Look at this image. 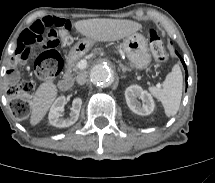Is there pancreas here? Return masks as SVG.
Listing matches in <instances>:
<instances>
[{"mask_svg": "<svg viewBox=\"0 0 215 183\" xmlns=\"http://www.w3.org/2000/svg\"><path fill=\"white\" fill-rule=\"evenodd\" d=\"M77 64H78V58L69 62L70 68L72 69L73 72H77L78 71Z\"/></svg>", "mask_w": 215, "mask_h": 183, "instance_id": "1", "label": "pancreas"}]
</instances>
